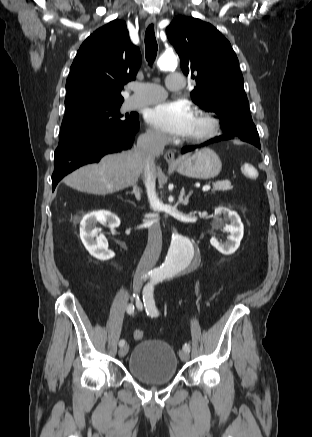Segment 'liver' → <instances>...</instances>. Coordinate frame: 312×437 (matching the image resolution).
<instances>
[{
    "label": "liver",
    "instance_id": "1",
    "mask_svg": "<svg viewBox=\"0 0 312 437\" xmlns=\"http://www.w3.org/2000/svg\"><path fill=\"white\" fill-rule=\"evenodd\" d=\"M143 170L144 161L134 147L128 151L108 154L99 163L82 166L65 177L63 182L80 192L107 195L133 186Z\"/></svg>",
    "mask_w": 312,
    "mask_h": 437
}]
</instances>
